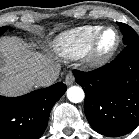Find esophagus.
I'll return each mask as SVG.
<instances>
[{
  "label": "esophagus",
  "instance_id": "34e87169",
  "mask_svg": "<svg viewBox=\"0 0 139 139\" xmlns=\"http://www.w3.org/2000/svg\"><path fill=\"white\" fill-rule=\"evenodd\" d=\"M74 83V76L72 73H68L65 77V84L70 86Z\"/></svg>",
  "mask_w": 139,
  "mask_h": 139
}]
</instances>
